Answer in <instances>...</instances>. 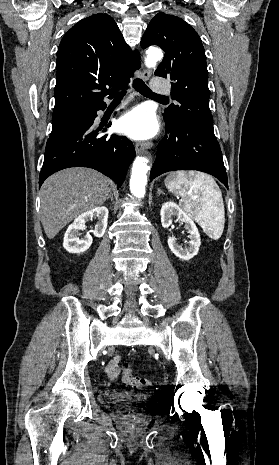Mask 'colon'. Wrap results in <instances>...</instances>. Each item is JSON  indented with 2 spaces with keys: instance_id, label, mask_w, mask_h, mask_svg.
Listing matches in <instances>:
<instances>
[{
  "instance_id": "5ec220e1",
  "label": "colon",
  "mask_w": 279,
  "mask_h": 465,
  "mask_svg": "<svg viewBox=\"0 0 279 465\" xmlns=\"http://www.w3.org/2000/svg\"><path fill=\"white\" fill-rule=\"evenodd\" d=\"M122 379L124 383L133 387L151 386L153 382L143 377L134 376L128 363L122 365Z\"/></svg>"
}]
</instances>
